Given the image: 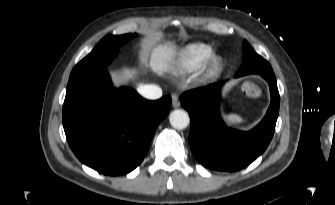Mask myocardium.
Returning <instances> with one entry per match:
<instances>
[{
    "label": "myocardium",
    "mask_w": 335,
    "mask_h": 205,
    "mask_svg": "<svg viewBox=\"0 0 335 205\" xmlns=\"http://www.w3.org/2000/svg\"><path fill=\"white\" fill-rule=\"evenodd\" d=\"M223 69V60L221 56L212 54L202 65L199 73V81L207 83L219 76Z\"/></svg>",
    "instance_id": "1"
}]
</instances>
